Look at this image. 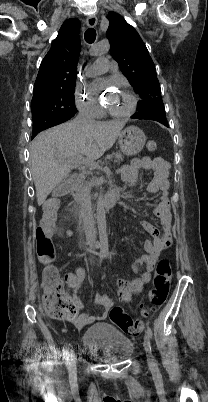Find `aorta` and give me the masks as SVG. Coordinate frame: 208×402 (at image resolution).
Instances as JSON below:
<instances>
[{"mask_svg":"<svg viewBox=\"0 0 208 402\" xmlns=\"http://www.w3.org/2000/svg\"><path fill=\"white\" fill-rule=\"evenodd\" d=\"M95 221L97 223V234L99 235L98 247L101 250V255L104 258L110 255V243L108 241V234L106 233L109 229L107 218L105 216L103 200L100 196L97 202V214Z\"/></svg>","mask_w":208,"mask_h":402,"instance_id":"762f6f07","label":"aorta"}]
</instances>
